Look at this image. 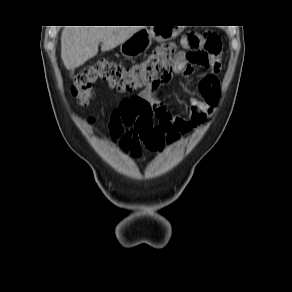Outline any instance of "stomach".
Here are the masks:
<instances>
[{
    "label": "stomach",
    "instance_id": "stomach-1",
    "mask_svg": "<svg viewBox=\"0 0 292 292\" xmlns=\"http://www.w3.org/2000/svg\"><path fill=\"white\" fill-rule=\"evenodd\" d=\"M181 29L164 28L159 26L150 29H140L121 44L120 51L125 57L140 55L149 49L152 40L164 41L174 38Z\"/></svg>",
    "mask_w": 292,
    "mask_h": 292
}]
</instances>
